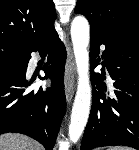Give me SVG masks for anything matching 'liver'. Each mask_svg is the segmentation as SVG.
<instances>
[{"label": "liver", "instance_id": "liver-1", "mask_svg": "<svg viewBox=\"0 0 139 150\" xmlns=\"http://www.w3.org/2000/svg\"><path fill=\"white\" fill-rule=\"evenodd\" d=\"M0 150H40L39 144L21 134L0 135Z\"/></svg>", "mask_w": 139, "mask_h": 150}]
</instances>
